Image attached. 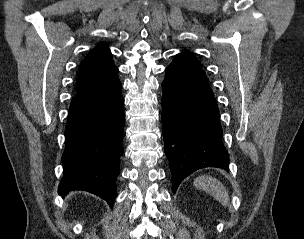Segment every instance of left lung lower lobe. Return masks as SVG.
Listing matches in <instances>:
<instances>
[{
	"mask_svg": "<svg viewBox=\"0 0 304 239\" xmlns=\"http://www.w3.org/2000/svg\"><path fill=\"white\" fill-rule=\"evenodd\" d=\"M162 123L173 193L182 180L205 167L228 169L229 155L214 94L203 69L182 54L165 70Z\"/></svg>",
	"mask_w": 304,
	"mask_h": 239,
	"instance_id": "0a47b994",
	"label": "left lung lower lobe"
}]
</instances>
